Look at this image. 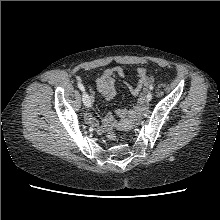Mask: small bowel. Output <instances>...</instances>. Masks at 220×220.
<instances>
[{
  "instance_id": "small-bowel-1",
  "label": "small bowel",
  "mask_w": 220,
  "mask_h": 220,
  "mask_svg": "<svg viewBox=\"0 0 220 220\" xmlns=\"http://www.w3.org/2000/svg\"><path fill=\"white\" fill-rule=\"evenodd\" d=\"M138 82L136 85H129L128 89L134 96H141L142 92L154 83V78L149 75L147 69L143 66L136 70ZM125 77V70L122 67H112L104 70L102 74L96 79L95 87L90 89V98L93 99L95 93H99L104 99L110 100L116 95V88L114 80L116 78L123 79ZM145 106V98L141 97L137 106L138 110H142ZM86 121L95 127L104 128L108 124V119L103 123H99L93 114H87Z\"/></svg>"
}]
</instances>
